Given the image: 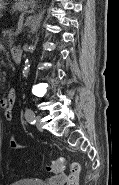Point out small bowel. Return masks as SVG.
Listing matches in <instances>:
<instances>
[{"label":"small bowel","instance_id":"c3829d8e","mask_svg":"<svg viewBox=\"0 0 119 185\" xmlns=\"http://www.w3.org/2000/svg\"><path fill=\"white\" fill-rule=\"evenodd\" d=\"M16 100V93L15 90L11 89L8 92V95L0 100V106L4 110V117L6 120H12L13 118V110H14V104ZM11 146L15 149H26L27 147L25 145L18 144L13 138L11 140ZM67 175L60 174L57 176H54L50 179V182L53 185H63L66 182Z\"/></svg>","mask_w":119,"mask_h":185}]
</instances>
